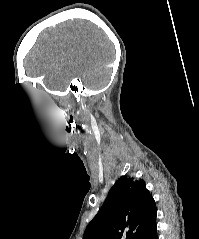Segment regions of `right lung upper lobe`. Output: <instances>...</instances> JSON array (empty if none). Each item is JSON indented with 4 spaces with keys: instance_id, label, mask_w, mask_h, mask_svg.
<instances>
[{
    "instance_id": "cb5924a9",
    "label": "right lung upper lobe",
    "mask_w": 199,
    "mask_h": 239,
    "mask_svg": "<svg viewBox=\"0 0 199 239\" xmlns=\"http://www.w3.org/2000/svg\"><path fill=\"white\" fill-rule=\"evenodd\" d=\"M156 214L155 201L144 180L122 176L88 224L83 239H136Z\"/></svg>"
}]
</instances>
